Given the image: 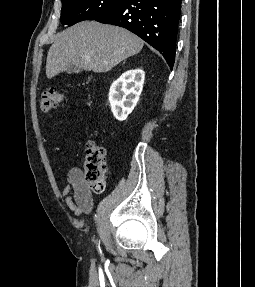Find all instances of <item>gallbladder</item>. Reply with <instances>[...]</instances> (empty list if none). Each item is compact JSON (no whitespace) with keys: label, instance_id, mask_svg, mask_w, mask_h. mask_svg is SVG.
Wrapping results in <instances>:
<instances>
[{"label":"gallbladder","instance_id":"gallbladder-1","mask_svg":"<svg viewBox=\"0 0 255 287\" xmlns=\"http://www.w3.org/2000/svg\"><path fill=\"white\" fill-rule=\"evenodd\" d=\"M65 72H67V74H73V72H75V74H79V72H82V70L81 68H76L74 64H71V66H67Z\"/></svg>","mask_w":255,"mask_h":287}]
</instances>
